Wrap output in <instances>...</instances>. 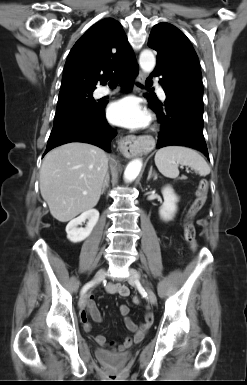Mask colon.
<instances>
[{"label": "colon", "instance_id": "1", "mask_svg": "<svg viewBox=\"0 0 247 385\" xmlns=\"http://www.w3.org/2000/svg\"><path fill=\"white\" fill-rule=\"evenodd\" d=\"M209 189V183L207 180H201L196 191V198L190 206L183 225L184 239L189 245L192 251L197 250L198 244L196 241V229L193 223V219L197 213L201 211L206 200ZM138 298H134V303H138Z\"/></svg>", "mask_w": 247, "mask_h": 385}]
</instances>
